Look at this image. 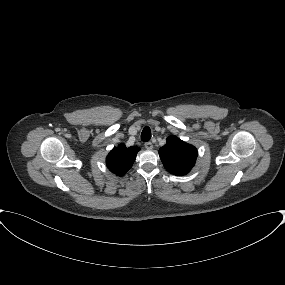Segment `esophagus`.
<instances>
[{"label": "esophagus", "mask_w": 285, "mask_h": 285, "mask_svg": "<svg viewBox=\"0 0 285 285\" xmlns=\"http://www.w3.org/2000/svg\"><path fill=\"white\" fill-rule=\"evenodd\" d=\"M144 146H145V148H146L147 150H152V149H153V144H152L151 142H146V143L144 144Z\"/></svg>", "instance_id": "obj_1"}]
</instances>
